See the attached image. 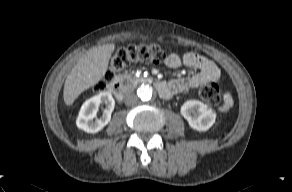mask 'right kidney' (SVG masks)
<instances>
[{"instance_id":"obj_1","label":"right kidney","mask_w":292,"mask_h":192,"mask_svg":"<svg viewBox=\"0 0 292 192\" xmlns=\"http://www.w3.org/2000/svg\"><path fill=\"white\" fill-rule=\"evenodd\" d=\"M105 104V109L100 118L97 111L101 104ZM115 106V101L110 92L103 91L85 101L81 106L76 125L87 133H97L106 126L111 119V114ZM96 118V120H94Z\"/></svg>"}]
</instances>
